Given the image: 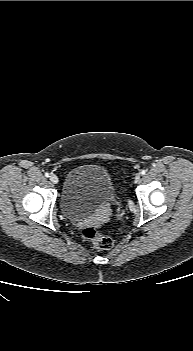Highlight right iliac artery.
Listing matches in <instances>:
<instances>
[{
  "instance_id": "82829eb1",
  "label": "right iliac artery",
  "mask_w": 193,
  "mask_h": 351,
  "mask_svg": "<svg viewBox=\"0 0 193 351\" xmlns=\"http://www.w3.org/2000/svg\"><path fill=\"white\" fill-rule=\"evenodd\" d=\"M45 177H50V174L49 173H45Z\"/></svg>"
}]
</instances>
